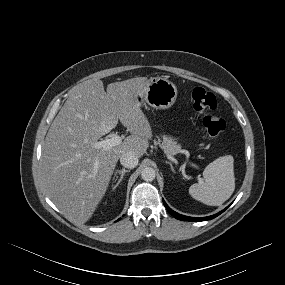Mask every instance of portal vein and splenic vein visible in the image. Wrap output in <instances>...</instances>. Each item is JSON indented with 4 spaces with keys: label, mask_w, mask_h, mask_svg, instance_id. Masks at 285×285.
I'll return each mask as SVG.
<instances>
[{
    "label": "portal vein and splenic vein",
    "mask_w": 285,
    "mask_h": 285,
    "mask_svg": "<svg viewBox=\"0 0 285 285\" xmlns=\"http://www.w3.org/2000/svg\"><path fill=\"white\" fill-rule=\"evenodd\" d=\"M122 142V138L119 135H114L110 139H105L93 144L94 148L107 150L114 146L119 145Z\"/></svg>",
    "instance_id": "1"
}]
</instances>
